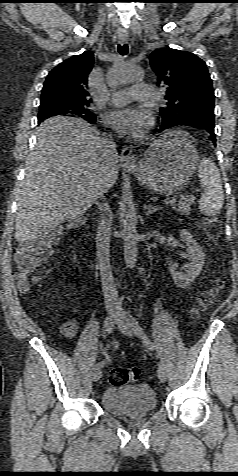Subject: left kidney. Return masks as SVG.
<instances>
[{"mask_svg":"<svg viewBox=\"0 0 238 476\" xmlns=\"http://www.w3.org/2000/svg\"><path fill=\"white\" fill-rule=\"evenodd\" d=\"M180 238L187 245L188 269L185 273H182L181 271L177 270L176 265L171 264L169 266V271L178 287L188 288L200 274L205 264L204 253L199 244L192 238L191 234L187 230H181Z\"/></svg>","mask_w":238,"mask_h":476,"instance_id":"5707ae66","label":"left kidney"}]
</instances>
